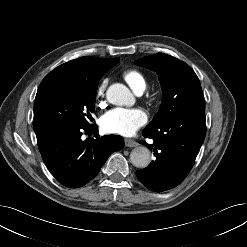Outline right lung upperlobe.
<instances>
[{"mask_svg":"<svg viewBox=\"0 0 247 247\" xmlns=\"http://www.w3.org/2000/svg\"><path fill=\"white\" fill-rule=\"evenodd\" d=\"M116 60L117 58L80 57L56 67L42 80L41 84L52 81H67L97 86L101 77L112 68L111 66Z\"/></svg>","mask_w":247,"mask_h":247,"instance_id":"1","label":"right lung upper lobe"}]
</instances>
